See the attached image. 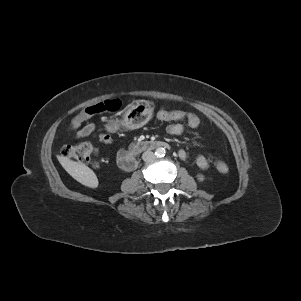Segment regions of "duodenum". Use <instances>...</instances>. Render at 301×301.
<instances>
[{
	"label": "duodenum",
	"instance_id": "obj_1",
	"mask_svg": "<svg viewBox=\"0 0 301 301\" xmlns=\"http://www.w3.org/2000/svg\"><path fill=\"white\" fill-rule=\"evenodd\" d=\"M157 148H169V145L166 142L159 140H148L138 143L125 153L121 159L120 167L125 171L133 170L137 166V157L139 154Z\"/></svg>",
	"mask_w": 301,
	"mask_h": 301
}]
</instances>
